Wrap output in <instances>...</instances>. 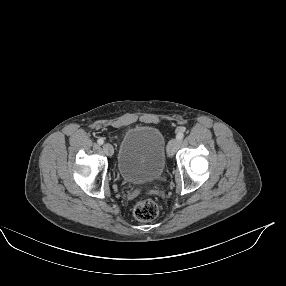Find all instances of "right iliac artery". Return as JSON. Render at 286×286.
<instances>
[{
  "label": "right iliac artery",
  "instance_id": "obj_1",
  "mask_svg": "<svg viewBox=\"0 0 286 286\" xmlns=\"http://www.w3.org/2000/svg\"><path fill=\"white\" fill-rule=\"evenodd\" d=\"M97 142H98V144L102 145V144L104 143V140H103V138H99V139L97 140Z\"/></svg>",
  "mask_w": 286,
  "mask_h": 286
}]
</instances>
